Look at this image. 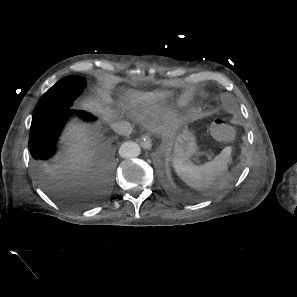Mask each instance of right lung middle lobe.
Here are the masks:
<instances>
[{"mask_svg":"<svg viewBox=\"0 0 297 297\" xmlns=\"http://www.w3.org/2000/svg\"><path fill=\"white\" fill-rule=\"evenodd\" d=\"M85 85L84 78L74 75L61 79L41 97L32 120L42 119L50 114L56 106L67 102L72 97H78Z\"/></svg>","mask_w":297,"mask_h":297,"instance_id":"1","label":"right lung middle lobe"}]
</instances>
